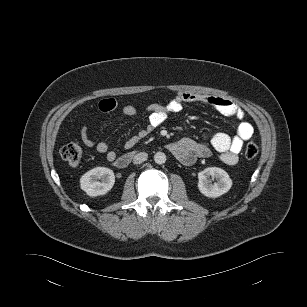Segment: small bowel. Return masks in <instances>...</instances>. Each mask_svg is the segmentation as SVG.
I'll return each mask as SVG.
<instances>
[{
	"mask_svg": "<svg viewBox=\"0 0 307 307\" xmlns=\"http://www.w3.org/2000/svg\"><path fill=\"white\" fill-rule=\"evenodd\" d=\"M190 103H200L211 106L224 116L235 117L239 121L237 133L230 136L224 132H217L209 139V144L198 142L192 138L184 137L167 145V149L182 163L186 165L193 164L198 158H205L211 155L212 149L221 154V160L227 165H235L238 162V155L245 141L249 140L254 134L253 125L244 120L243 110L229 99L202 95L190 92L178 93L167 104L152 103L146 107L148 121L136 135L125 142V148L129 149L135 146L141 139L148 136L154 129L160 127L170 114L180 112L184 105ZM117 108V102L114 99H105L99 103V109L102 112H112ZM123 115L135 117L138 110L133 105H124L121 108ZM80 138L82 143L95 148L98 153L105 154L109 162L115 164L118 159L117 153L109 149L107 143L95 141L89 134L87 126L80 129Z\"/></svg>",
	"mask_w": 307,
	"mask_h": 307,
	"instance_id": "obj_1",
	"label": "small bowel"
}]
</instances>
